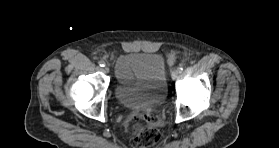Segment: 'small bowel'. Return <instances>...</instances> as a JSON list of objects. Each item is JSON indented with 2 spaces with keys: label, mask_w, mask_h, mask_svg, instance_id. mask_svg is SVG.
Returning a JSON list of instances; mask_svg holds the SVG:
<instances>
[{
  "label": "small bowel",
  "mask_w": 279,
  "mask_h": 148,
  "mask_svg": "<svg viewBox=\"0 0 279 148\" xmlns=\"http://www.w3.org/2000/svg\"><path fill=\"white\" fill-rule=\"evenodd\" d=\"M118 73L125 81H130L132 79L131 74L124 68V66H122V64H119L118 66Z\"/></svg>",
  "instance_id": "small-bowel-1"
}]
</instances>
